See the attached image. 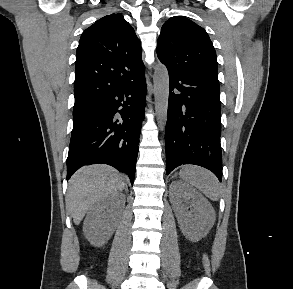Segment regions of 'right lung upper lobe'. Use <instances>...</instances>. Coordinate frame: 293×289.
I'll use <instances>...</instances> for the list:
<instances>
[{"label": "right lung upper lobe", "instance_id": "1", "mask_svg": "<svg viewBox=\"0 0 293 289\" xmlns=\"http://www.w3.org/2000/svg\"><path fill=\"white\" fill-rule=\"evenodd\" d=\"M141 45L119 13L105 16L81 35L75 63L74 107H83L144 75Z\"/></svg>", "mask_w": 293, "mask_h": 289}]
</instances>
